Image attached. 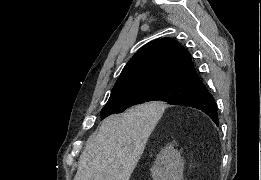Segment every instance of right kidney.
Returning a JSON list of instances; mask_svg holds the SVG:
<instances>
[{"label": "right kidney", "instance_id": "ca27d5eb", "mask_svg": "<svg viewBox=\"0 0 261 180\" xmlns=\"http://www.w3.org/2000/svg\"><path fill=\"white\" fill-rule=\"evenodd\" d=\"M184 160L180 152L174 150L173 144L160 152L151 168L154 180H183Z\"/></svg>", "mask_w": 261, "mask_h": 180}]
</instances>
